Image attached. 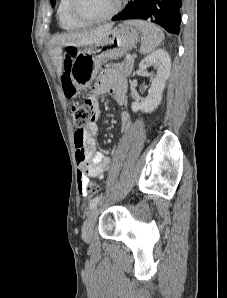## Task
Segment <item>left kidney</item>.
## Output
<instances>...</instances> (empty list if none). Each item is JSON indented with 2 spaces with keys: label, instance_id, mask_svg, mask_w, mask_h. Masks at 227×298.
Wrapping results in <instances>:
<instances>
[{
  "label": "left kidney",
  "instance_id": "5707ae66",
  "mask_svg": "<svg viewBox=\"0 0 227 298\" xmlns=\"http://www.w3.org/2000/svg\"><path fill=\"white\" fill-rule=\"evenodd\" d=\"M150 66H153L157 70L156 75L151 79L152 85L147 97L141 103H132L131 109L133 112L142 111L150 113L158 107L162 100V93L171 69V59L168 53L164 49H158L147 55L139 63L141 70H146Z\"/></svg>",
  "mask_w": 227,
  "mask_h": 298
}]
</instances>
